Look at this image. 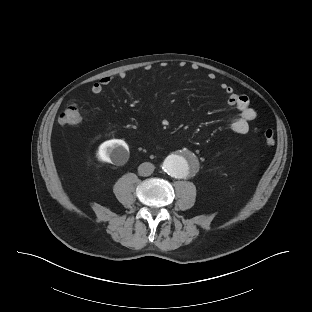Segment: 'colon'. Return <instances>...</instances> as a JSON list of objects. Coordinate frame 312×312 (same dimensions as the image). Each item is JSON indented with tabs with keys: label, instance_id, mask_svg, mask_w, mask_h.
<instances>
[{
	"label": "colon",
	"instance_id": "1",
	"mask_svg": "<svg viewBox=\"0 0 312 312\" xmlns=\"http://www.w3.org/2000/svg\"><path fill=\"white\" fill-rule=\"evenodd\" d=\"M81 121L80 107L77 103H69L64 111L59 115L58 122L61 125L75 126ZM264 141L268 146L275 144V135L272 129L266 128L263 131Z\"/></svg>",
	"mask_w": 312,
	"mask_h": 312
}]
</instances>
